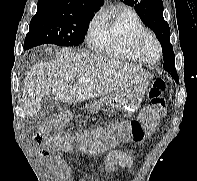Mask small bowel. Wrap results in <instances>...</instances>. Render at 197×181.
Returning a JSON list of instances; mask_svg holds the SVG:
<instances>
[{
    "label": "small bowel",
    "mask_w": 197,
    "mask_h": 181,
    "mask_svg": "<svg viewBox=\"0 0 197 181\" xmlns=\"http://www.w3.org/2000/svg\"><path fill=\"white\" fill-rule=\"evenodd\" d=\"M129 136H125V138H128ZM37 142H40L39 139H36ZM60 149H52L49 146L45 149H41L39 151V155L41 158H43L46 161L54 162L56 163V171L59 175L62 177H71L73 175V172L67 163V161L63 158V156L60 153ZM65 152H70L71 150H64ZM85 154L95 156L97 152L91 151V150H83ZM133 165V159L131 155L125 151L122 150H111L106 155L104 162L101 166V171H105L107 173H115L117 167H126L130 168Z\"/></svg>",
    "instance_id": "1"
}]
</instances>
